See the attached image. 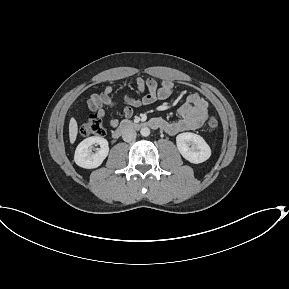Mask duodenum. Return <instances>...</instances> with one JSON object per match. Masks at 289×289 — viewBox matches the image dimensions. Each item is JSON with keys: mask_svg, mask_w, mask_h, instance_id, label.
I'll use <instances>...</instances> for the list:
<instances>
[{"mask_svg": "<svg viewBox=\"0 0 289 289\" xmlns=\"http://www.w3.org/2000/svg\"><path fill=\"white\" fill-rule=\"evenodd\" d=\"M143 126H148L153 129H158L160 127V124L157 120L152 119L146 123H140V122H132L130 120L123 121L113 132L112 136L113 138H119L126 132L130 130H136L140 129Z\"/></svg>", "mask_w": 289, "mask_h": 289, "instance_id": "duodenum-1", "label": "duodenum"}]
</instances>
